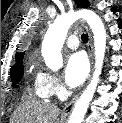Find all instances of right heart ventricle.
<instances>
[{
    "instance_id": "right-heart-ventricle-1",
    "label": "right heart ventricle",
    "mask_w": 122,
    "mask_h": 123,
    "mask_svg": "<svg viewBox=\"0 0 122 123\" xmlns=\"http://www.w3.org/2000/svg\"><path fill=\"white\" fill-rule=\"evenodd\" d=\"M32 94L34 97L41 99V100L47 99L49 97L47 93L44 91V89L42 88L41 84L39 83L37 76L35 78L34 86L32 89Z\"/></svg>"
}]
</instances>
